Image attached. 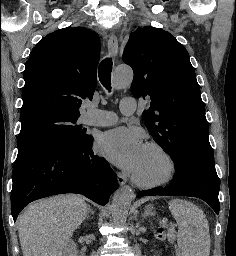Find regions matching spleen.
<instances>
[{
	"instance_id": "spleen-1",
	"label": "spleen",
	"mask_w": 236,
	"mask_h": 256,
	"mask_svg": "<svg viewBox=\"0 0 236 256\" xmlns=\"http://www.w3.org/2000/svg\"><path fill=\"white\" fill-rule=\"evenodd\" d=\"M169 210L178 226L180 256H209L211 240L204 212L186 200H171Z\"/></svg>"
}]
</instances>
